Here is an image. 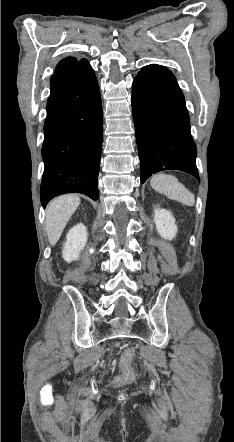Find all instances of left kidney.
I'll return each instance as SVG.
<instances>
[{
  "label": "left kidney",
  "instance_id": "left-kidney-1",
  "mask_svg": "<svg viewBox=\"0 0 234 442\" xmlns=\"http://www.w3.org/2000/svg\"><path fill=\"white\" fill-rule=\"evenodd\" d=\"M154 222L158 233L164 239L172 240L176 236L178 228L170 211L160 208L155 209Z\"/></svg>",
  "mask_w": 234,
  "mask_h": 442
}]
</instances>
